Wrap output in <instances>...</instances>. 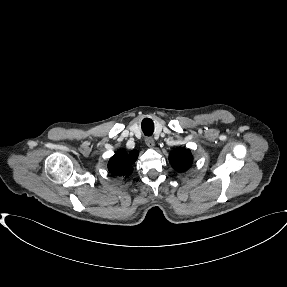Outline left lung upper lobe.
Here are the masks:
<instances>
[{
	"label": "left lung upper lobe",
	"instance_id": "obj_1",
	"mask_svg": "<svg viewBox=\"0 0 287 287\" xmlns=\"http://www.w3.org/2000/svg\"><path fill=\"white\" fill-rule=\"evenodd\" d=\"M169 161L175 170L183 172L192 165L193 156L189 149L178 148L169 154Z\"/></svg>",
	"mask_w": 287,
	"mask_h": 287
}]
</instances>
